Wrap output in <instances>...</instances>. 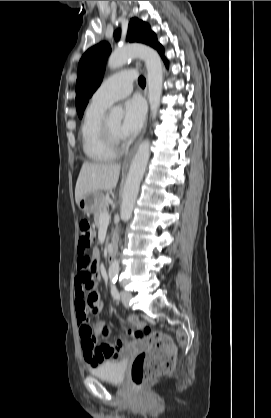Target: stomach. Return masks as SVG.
I'll return each mask as SVG.
<instances>
[{"instance_id":"obj_1","label":"stomach","mask_w":271,"mask_h":418,"mask_svg":"<svg viewBox=\"0 0 271 418\" xmlns=\"http://www.w3.org/2000/svg\"><path fill=\"white\" fill-rule=\"evenodd\" d=\"M102 196L103 195L100 192H92L86 194L78 202L79 209L86 214L94 213L100 203Z\"/></svg>"}]
</instances>
